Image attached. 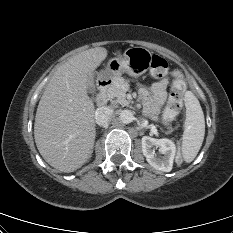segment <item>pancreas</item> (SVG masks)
Wrapping results in <instances>:
<instances>
[{
	"mask_svg": "<svg viewBox=\"0 0 233 233\" xmlns=\"http://www.w3.org/2000/svg\"><path fill=\"white\" fill-rule=\"evenodd\" d=\"M126 80L122 77H118L115 79L114 84L108 90V94L111 98H116V102L122 106H126L129 104V101L126 100V91L124 87L126 85Z\"/></svg>",
	"mask_w": 233,
	"mask_h": 233,
	"instance_id": "1",
	"label": "pancreas"
}]
</instances>
